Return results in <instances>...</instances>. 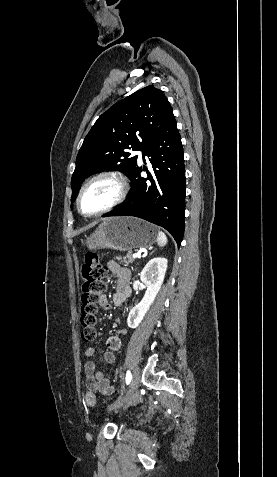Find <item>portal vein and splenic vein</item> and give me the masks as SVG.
<instances>
[{"label":"portal vein and splenic vein","instance_id":"1","mask_svg":"<svg viewBox=\"0 0 277 477\" xmlns=\"http://www.w3.org/2000/svg\"><path fill=\"white\" fill-rule=\"evenodd\" d=\"M132 256H133L134 258H140L139 254H137V253H134Z\"/></svg>","mask_w":277,"mask_h":477}]
</instances>
